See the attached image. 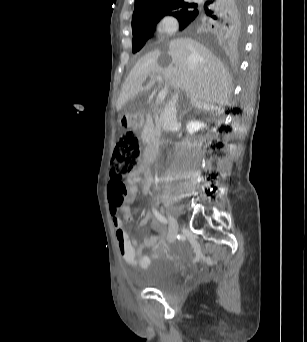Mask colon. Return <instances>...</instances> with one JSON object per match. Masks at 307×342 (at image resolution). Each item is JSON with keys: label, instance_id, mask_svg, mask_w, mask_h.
<instances>
[{"label": "colon", "instance_id": "5ec220e1", "mask_svg": "<svg viewBox=\"0 0 307 342\" xmlns=\"http://www.w3.org/2000/svg\"><path fill=\"white\" fill-rule=\"evenodd\" d=\"M141 146L139 138L134 132H125L117 140L113 153L111 168V179L109 185L110 199L109 207H116V189H123V203L126 198V187L124 178L133 172L140 163ZM117 208V207H116ZM125 219L130 220V212L125 213Z\"/></svg>", "mask_w": 307, "mask_h": 342}]
</instances>
